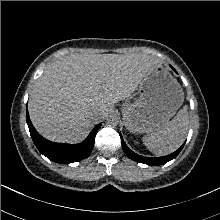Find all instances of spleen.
<instances>
[{"mask_svg":"<svg viewBox=\"0 0 220 220\" xmlns=\"http://www.w3.org/2000/svg\"><path fill=\"white\" fill-rule=\"evenodd\" d=\"M189 129L187 106L164 128L143 137L145 146L154 154L162 156L174 152L184 142Z\"/></svg>","mask_w":220,"mask_h":220,"instance_id":"1","label":"spleen"}]
</instances>
